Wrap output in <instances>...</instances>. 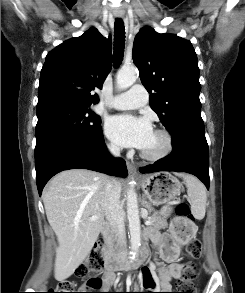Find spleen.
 <instances>
[{
	"instance_id": "spleen-1",
	"label": "spleen",
	"mask_w": 245,
	"mask_h": 293,
	"mask_svg": "<svg viewBox=\"0 0 245 293\" xmlns=\"http://www.w3.org/2000/svg\"><path fill=\"white\" fill-rule=\"evenodd\" d=\"M187 194L190 199L191 212L195 219L201 220L205 216L207 194L202 182L191 175L184 176Z\"/></svg>"
}]
</instances>
